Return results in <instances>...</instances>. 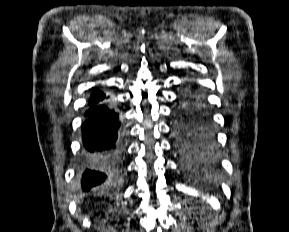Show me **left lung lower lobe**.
<instances>
[{"mask_svg":"<svg viewBox=\"0 0 289 232\" xmlns=\"http://www.w3.org/2000/svg\"><path fill=\"white\" fill-rule=\"evenodd\" d=\"M186 107L181 111L185 112L189 118L198 126L201 133L215 139L214 125L212 118L205 107L203 97L200 92L189 89L185 94Z\"/></svg>","mask_w":289,"mask_h":232,"instance_id":"obj_1","label":"left lung lower lobe"}]
</instances>
